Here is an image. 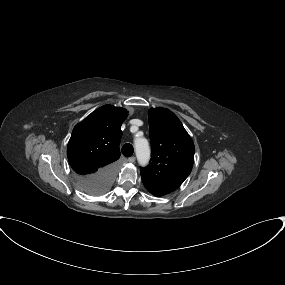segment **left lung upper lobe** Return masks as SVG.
I'll use <instances>...</instances> for the list:
<instances>
[{"mask_svg": "<svg viewBox=\"0 0 285 285\" xmlns=\"http://www.w3.org/2000/svg\"><path fill=\"white\" fill-rule=\"evenodd\" d=\"M151 160L141 168L146 189L160 197L176 190L188 177L194 162V143L178 117L166 108L149 111Z\"/></svg>", "mask_w": 285, "mask_h": 285, "instance_id": "obj_1", "label": "left lung upper lobe"}]
</instances>
